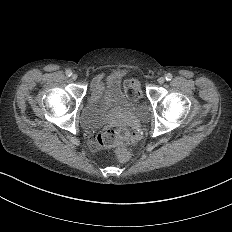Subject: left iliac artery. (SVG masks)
Returning a JSON list of instances; mask_svg holds the SVG:
<instances>
[{"label":"left iliac artery","instance_id":"obj_1","mask_svg":"<svg viewBox=\"0 0 232 232\" xmlns=\"http://www.w3.org/2000/svg\"><path fill=\"white\" fill-rule=\"evenodd\" d=\"M172 78H173V75H172L171 73H167V74L165 75V79H166L167 81H171Z\"/></svg>","mask_w":232,"mask_h":232}]
</instances>
